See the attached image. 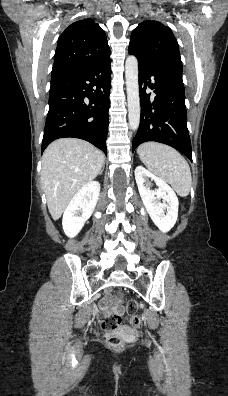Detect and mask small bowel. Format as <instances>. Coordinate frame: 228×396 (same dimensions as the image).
<instances>
[{
  "label": "small bowel",
  "mask_w": 228,
  "mask_h": 396,
  "mask_svg": "<svg viewBox=\"0 0 228 396\" xmlns=\"http://www.w3.org/2000/svg\"><path fill=\"white\" fill-rule=\"evenodd\" d=\"M100 308L103 314H122L123 307L120 305L110 304L108 299H104L100 302Z\"/></svg>",
  "instance_id": "c3829d8e"
}]
</instances>
